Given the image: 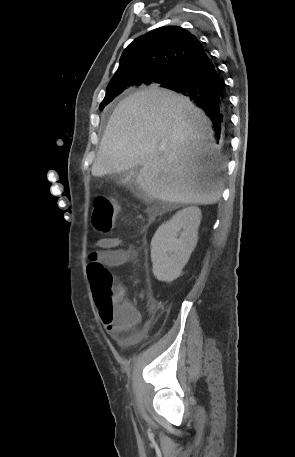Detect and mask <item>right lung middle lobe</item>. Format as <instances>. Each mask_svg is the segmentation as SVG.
Here are the masks:
<instances>
[{
  "label": "right lung middle lobe",
  "mask_w": 295,
  "mask_h": 457,
  "mask_svg": "<svg viewBox=\"0 0 295 457\" xmlns=\"http://www.w3.org/2000/svg\"><path fill=\"white\" fill-rule=\"evenodd\" d=\"M176 77V76H175ZM175 77L173 78H170L168 80V82L170 81H173L175 79ZM132 84H129V83H125V84H119V85H114L112 87H109L107 88L106 90V95H105V98L104 100L102 101V103L100 104V110H103V108L109 104L117 95H119L120 93H122L126 88H128L129 86H131ZM139 85H142V84H138ZM162 87V86H161Z\"/></svg>",
  "instance_id": "right-lung-middle-lobe-1"
}]
</instances>
